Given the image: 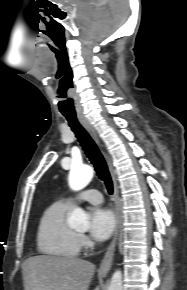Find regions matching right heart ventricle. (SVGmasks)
Returning a JSON list of instances; mask_svg holds the SVG:
<instances>
[{
	"mask_svg": "<svg viewBox=\"0 0 187 290\" xmlns=\"http://www.w3.org/2000/svg\"><path fill=\"white\" fill-rule=\"evenodd\" d=\"M70 205L57 201L43 212L37 230V246L41 253L58 257L73 258L79 254V235L66 222Z\"/></svg>",
	"mask_w": 187,
	"mask_h": 290,
	"instance_id": "right-heart-ventricle-1",
	"label": "right heart ventricle"
}]
</instances>
